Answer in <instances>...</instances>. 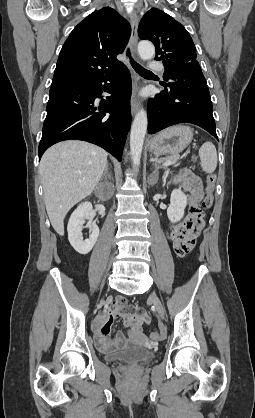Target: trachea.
<instances>
[{
  "label": "trachea",
  "instance_id": "trachea-1",
  "mask_svg": "<svg viewBox=\"0 0 255 418\" xmlns=\"http://www.w3.org/2000/svg\"><path fill=\"white\" fill-rule=\"evenodd\" d=\"M127 55L130 58V62L132 67L134 68V70L140 74V75H152L153 73L147 69H145L144 67H142L140 64H138L136 61H134L131 56H130V52L129 50L127 51Z\"/></svg>",
  "mask_w": 255,
  "mask_h": 418
}]
</instances>
